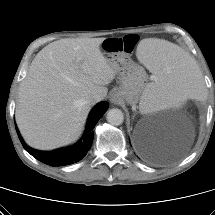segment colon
<instances>
[{"mask_svg": "<svg viewBox=\"0 0 215 215\" xmlns=\"http://www.w3.org/2000/svg\"><path fill=\"white\" fill-rule=\"evenodd\" d=\"M138 40V36L134 34L126 35L122 38H108L103 41V48L108 53H115L116 51L131 53Z\"/></svg>", "mask_w": 215, "mask_h": 215, "instance_id": "colon-1", "label": "colon"}]
</instances>
